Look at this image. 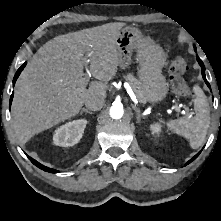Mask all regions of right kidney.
<instances>
[{
  "label": "right kidney",
  "mask_w": 221,
  "mask_h": 221,
  "mask_svg": "<svg viewBox=\"0 0 221 221\" xmlns=\"http://www.w3.org/2000/svg\"><path fill=\"white\" fill-rule=\"evenodd\" d=\"M87 120L79 119L68 122L57 128L53 135V144L62 147L77 144L84 133Z\"/></svg>",
  "instance_id": "obj_1"
}]
</instances>
